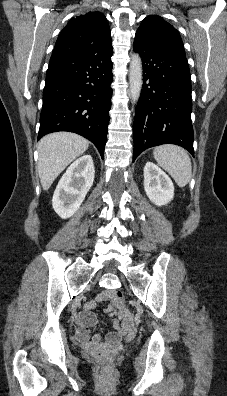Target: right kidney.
I'll return each mask as SVG.
<instances>
[{"label": "right kidney", "instance_id": "1", "mask_svg": "<svg viewBox=\"0 0 227 396\" xmlns=\"http://www.w3.org/2000/svg\"><path fill=\"white\" fill-rule=\"evenodd\" d=\"M94 163L90 155L74 161L60 179L52 205L63 219L71 217L80 207L94 181Z\"/></svg>", "mask_w": 227, "mask_h": 396}]
</instances>
